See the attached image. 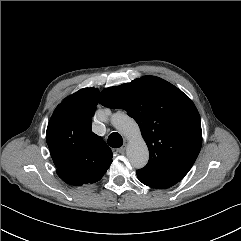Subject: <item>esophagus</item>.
<instances>
[{"mask_svg": "<svg viewBox=\"0 0 241 241\" xmlns=\"http://www.w3.org/2000/svg\"><path fill=\"white\" fill-rule=\"evenodd\" d=\"M127 144L124 143L122 147H120L119 149H117V153L119 154H123L126 150Z\"/></svg>", "mask_w": 241, "mask_h": 241, "instance_id": "1", "label": "esophagus"}]
</instances>
